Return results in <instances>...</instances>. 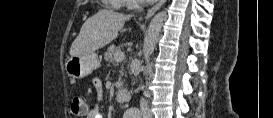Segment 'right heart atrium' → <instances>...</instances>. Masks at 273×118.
Here are the masks:
<instances>
[{"label":"right heart atrium","mask_w":273,"mask_h":118,"mask_svg":"<svg viewBox=\"0 0 273 118\" xmlns=\"http://www.w3.org/2000/svg\"><path fill=\"white\" fill-rule=\"evenodd\" d=\"M120 6L127 8V9H133L136 7L137 1L136 0H119Z\"/></svg>","instance_id":"1"}]
</instances>
